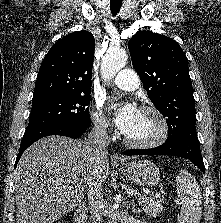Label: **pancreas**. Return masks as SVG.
I'll return each mask as SVG.
<instances>
[{
  "label": "pancreas",
  "instance_id": "1",
  "mask_svg": "<svg viewBox=\"0 0 221 223\" xmlns=\"http://www.w3.org/2000/svg\"><path fill=\"white\" fill-rule=\"evenodd\" d=\"M128 192L131 194H135L138 196V203L142 210L145 211L147 215L150 217H158L163 211V205L160 199H155L153 197H149L145 194L139 193L137 190L132 188L128 189Z\"/></svg>",
  "mask_w": 221,
  "mask_h": 223
}]
</instances>
